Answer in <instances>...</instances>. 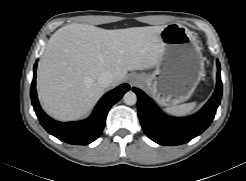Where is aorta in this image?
I'll use <instances>...</instances> for the list:
<instances>
[{
    "instance_id": "762f6f07",
    "label": "aorta",
    "mask_w": 246,
    "mask_h": 181,
    "mask_svg": "<svg viewBox=\"0 0 246 181\" xmlns=\"http://www.w3.org/2000/svg\"><path fill=\"white\" fill-rule=\"evenodd\" d=\"M124 103L126 105H134L137 102V96L133 91H128L123 96Z\"/></svg>"
}]
</instances>
